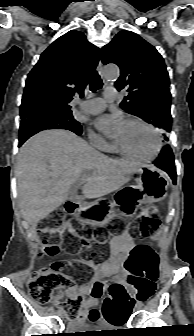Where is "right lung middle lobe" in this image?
<instances>
[{
  "label": "right lung middle lobe",
  "instance_id": "1",
  "mask_svg": "<svg viewBox=\"0 0 194 336\" xmlns=\"http://www.w3.org/2000/svg\"><path fill=\"white\" fill-rule=\"evenodd\" d=\"M46 129H66L77 135L82 133V127L76 121L72 113L47 112L40 113L30 120H24L20 124L19 140H25L39 131Z\"/></svg>",
  "mask_w": 194,
  "mask_h": 336
}]
</instances>
